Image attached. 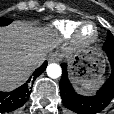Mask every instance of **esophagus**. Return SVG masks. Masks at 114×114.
<instances>
[{
  "label": "esophagus",
  "mask_w": 114,
  "mask_h": 114,
  "mask_svg": "<svg viewBox=\"0 0 114 114\" xmlns=\"http://www.w3.org/2000/svg\"><path fill=\"white\" fill-rule=\"evenodd\" d=\"M49 62H59L60 61V55L58 53H51L49 58H48Z\"/></svg>",
  "instance_id": "obj_1"
}]
</instances>
